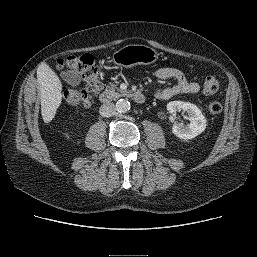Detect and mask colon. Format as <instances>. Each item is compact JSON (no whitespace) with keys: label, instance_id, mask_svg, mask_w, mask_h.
<instances>
[{"label":"colon","instance_id":"1","mask_svg":"<svg viewBox=\"0 0 257 257\" xmlns=\"http://www.w3.org/2000/svg\"><path fill=\"white\" fill-rule=\"evenodd\" d=\"M57 66L61 70L75 71L86 81V86L82 90L69 89L64 92V99L67 103L75 106H88L92 97L100 90L99 68L90 54L79 56H69L59 59ZM219 89V82L214 77H207L203 84V91L206 95H213ZM209 112L213 115L219 114L222 103L219 100H212L209 104Z\"/></svg>","mask_w":257,"mask_h":257}]
</instances>
